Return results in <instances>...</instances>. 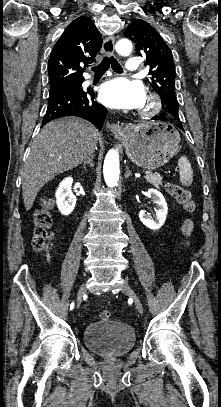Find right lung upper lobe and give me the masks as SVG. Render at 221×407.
I'll use <instances>...</instances> for the list:
<instances>
[{
	"mask_svg": "<svg viewBox=\"0 0 221 407\" xmlns=\"http://www.w3.org/2000/svg\"><path fill=\"white\" fill-rule=\"evenodd\" d=\"M101 41L90 18L79 17L72 21L50 54L48 74L51 85L67 86L84 81L83 70L95 62Z\"/></svg>",
	"mask_w": 221,
	"mask_h": 407,
	"instance_id": "right-lung-upper-lobe-1",
	"label": "right lung upper lobe"
}]
</instances>
